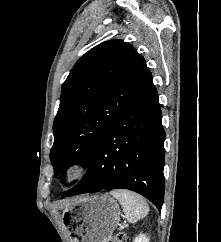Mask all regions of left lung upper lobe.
Wrapping results in <instances>:
<instances>
[{
    "instance_id": "obj_1",
    "label": "left lung upper lobe",
    "mask_w": 221,
    "mask_h": 242,
    "mask_svg": "<svg viewBox=\"0 0 221 242\" xmlns=\"http://www.w3.org/2000/svg\"><path fill=\"white\" fill-rule=\"evenodd\" d=\"M152 84L143 56L122 40L84 54L62 86L50 152L54 172L75 163L88 166L103 133Z\"/></svg>"
}]
</instances>
